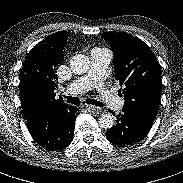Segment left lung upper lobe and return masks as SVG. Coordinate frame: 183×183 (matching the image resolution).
Here are the masks:
<instances>
[{
	"mask_svg": "<svg viewBox=\"0 0 183 183\" xmlns=\"http://www.w3.org/2000/svg\"><path fill=\"white\" fill-rule=\"evenodd\" d=\"M114 53L115 78L123 86L124 108L154 121L161 97V68L142 40L128 33L104 32Z\"/></svg>",
	"mask_w": 183,
	"mask_h": 183,
	"instance_id": "left-lung-upper-lobe-1",
	"label": "left lung upper lobe"
}]
</instances>
